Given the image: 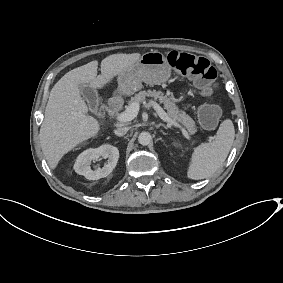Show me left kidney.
Masks as SVG:
<instances>
[{"mask_svg":"<svg viewBox=\"0 0 283 283\" xmlns=\"http://www.w3.org/2000/svg\"><path fill=\"white\" fill-rule=\"evenodd\" d=\"M174 146H178V144H177V143H174Z\"/></svg>","mask_w":283,"mask_h":283,"instance_id":"obj_1","label":"left kidney"}]
</instances>
